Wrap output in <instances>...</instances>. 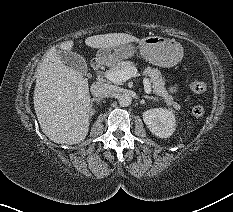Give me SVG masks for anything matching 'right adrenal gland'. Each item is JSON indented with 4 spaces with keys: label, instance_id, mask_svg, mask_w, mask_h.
<instances>
[{
    "label": "right adrenal gland",
    "instance_id": "1",
    "mask_svg": "<svg viewBox=\"0 0 233 212\" xmlns=\"http://www.w3.org/2000/svg\"><path fill=\"white\" fill-rule=\"evenodd\" d=\"M101 98H92L91 99V107H93V102H97V104H99V102L101 101ZM95 113V108H91V116L94 115Z\"/></svg>",
    "mask_w": 233,
    "mask_h": 212
}]
</instances>
